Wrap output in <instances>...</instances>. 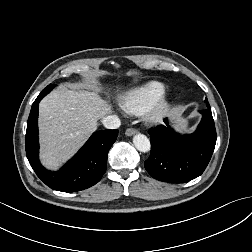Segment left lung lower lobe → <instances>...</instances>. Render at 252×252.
I'll use <instances>...</instances> for the list:
<instances>
[{"instance_id":"1","label":"left lung lower lobe","mask_w":252,"mask_h":252,"mask_svg":"<svg viewBox=\"0 0 252 252\" xmlns=\"http://www.w3.org/2000/svg\"><path fill=\"white\" fill-rule=\"evenodd\" d=\"M193 134L181 135L164 119L165 125L149 131L150 157L145 168L155 179L185 183L200 176L207 167L216 144V130L209 103Z\"/></svg>"}]
</instances>
